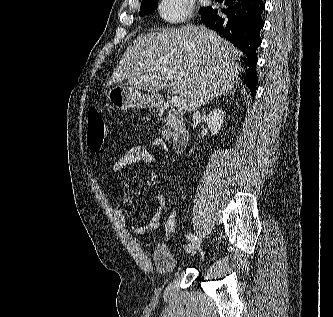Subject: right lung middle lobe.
<instances>
[{
  "label": "right lung middle lobe",
  "instance_id": "obj_1",
  "mask_svg": "<svg viewBox=\"0 0 333 317\" xmlns=\"http://www.w3.org/2000/svg\"><path fill=\"white\" fill-rule=\"evenodd\" d=\"M158 0H144L141 3L140 16L147 15L155 10ZM204 8H201L202 11Z\"/></svg>",
  "mask_w": 333,
  "mask_h": 317
}]
</instances>
